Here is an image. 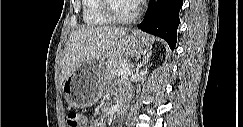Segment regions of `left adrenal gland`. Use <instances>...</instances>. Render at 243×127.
<instances>
[{"instance_id": "a2214340", "label": "left adrenal gland", "mask_w": 243, "mask_h": 127, "mask_svg": "<svg viewBox=\"0 0 243 127\" xmlns=\"http://www.w3.org/2000/svg\"><path fill=\"white\" fill-rule=\"evenodd\" d=\"M150 56H151V53H149V54L144 58V60L142 61V63H140V67H141V66H145V65L149 62V60H150Z\"/></svg>"}]
</instances>
